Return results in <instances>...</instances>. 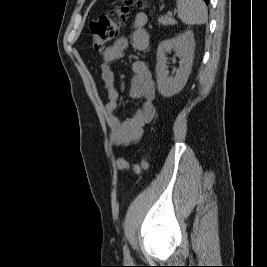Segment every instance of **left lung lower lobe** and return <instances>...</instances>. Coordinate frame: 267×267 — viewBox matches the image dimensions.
<instances>
[{
    "mask_svg": "<svg viewBox=\"0 0 267 267\" xmlns=\"http://www.w3.org/2000/svg\"><path fill=\"white\" fill-rule=\"evenodd\" d=\"M206 4H208L209 0H204Z\"/></svg>",
    "mask_w": 267,
    "mask_h": 267,
    "instance_id": "obj_1",
    "label": "left lung lower lobe"
}]
</instances>
